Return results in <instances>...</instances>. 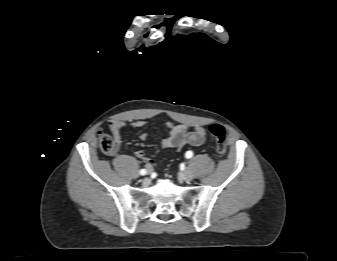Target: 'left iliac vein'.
<instances>
[{
    "label": "left iliac vein",
    "mask_w": 337,
    "mask_h": 261,
    "mask_svg": "<svg viewBox=\"0 0 337 261\" xmlns=\"http://www.w3.org/2000/svg\"><path fill=\"white\" fill-rule=\"evenodd\" d=\"M181 175L182 178L186 181H191L193 179V173L189 168H186Z\"/></svg>",
    "instance_id": "left-iliac-vein-1"
}]
</instances>
